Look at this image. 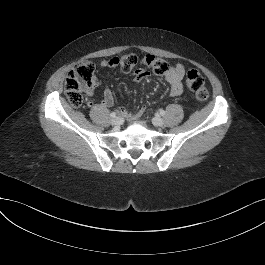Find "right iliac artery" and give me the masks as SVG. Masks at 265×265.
<instances>
[{
    "label": "right iliac artery",
    "instance_id": "obj_1",
    "mask_svg": "<svg viewBox=\"0 0 265 265\" xmlns=\"http://www.w3.org/2000/svg\"><path fill=\"white\" fill-rule=\"evenodd\" d=\"M110 117H111V118H115V117H116V113L112 112V113L110 114Z\"/></svg>",
    "mask_w": 265,
    "mask_h": 265
}]
</instances>
